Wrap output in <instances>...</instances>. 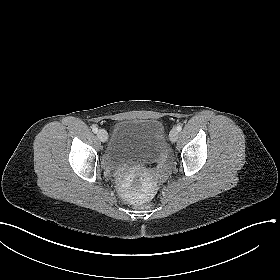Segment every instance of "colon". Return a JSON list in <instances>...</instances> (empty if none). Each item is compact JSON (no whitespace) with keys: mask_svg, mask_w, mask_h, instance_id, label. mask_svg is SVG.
I'll use <instances>...</instances> for the list:
<instances>
[{"mask_svg":"<svg viewBox=\"0 0 280 280\" xmlns=\"http://www.w3.org/2000/svg\"><path fill=\"white\" fill-rule=\"evenodd\" d=\"M150 206H151V203L142 204V207H144V208H147V207H150Z\"/></svg>","mask_w":280,"mask_h":280,"instance_id":"colon-1","label":"colon"}]
</instances>
